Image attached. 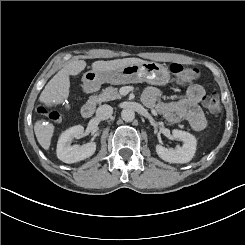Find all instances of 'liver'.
<instances>
[{"instance_id":"6515ba94","label":"liver","mask_w":245,"mask_h":245,"mask_svg":"<svg viewBox=\"0 0 245 245\" xmlns=\"http://www.w3.org/2000/svg\"><path fill=\"white\" fill-rule=\"evenodd\" d=\"M143 62L145 61L139 58L95 61L92 63V69L94 71H110L127 65L140 64ZM85 67L86 62L84 60H76L67 64L47 83L39 97V100L45 105H51L52 103H63L69 96V75H78L82 70H84ZM34 132L39 144L45 150H48L54 132L53 124L43 125L40 121H37L34 125Z\"/></svg>"}]
</instances>
